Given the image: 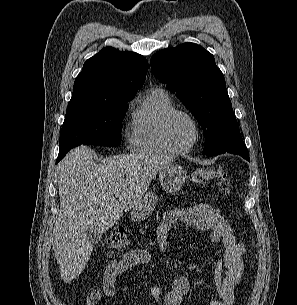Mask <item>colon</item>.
Returning a JSON list of instances; mask_svg holds the SVG:
<instances>
[{"mask_svg": "<svg viewBox=\"0 0 297 305\" xmlns=\"http://www.w3.org/2000/svg\"><path fill=\"white\" fill-rule=\"evenodd\" d=\"M192 182L195 184H206L215 179L220 185L222 194L228 193L229 178L223 170L212 168H199L193 171L191 175ZM128 246V237L125 229L114 228L108 235L106 248L111 253L122 252Z\"/></svg>", "mask_w": 297, "mask_h": 305, "instance_id": "obj_1", "label": "colon"}]
</instances>
